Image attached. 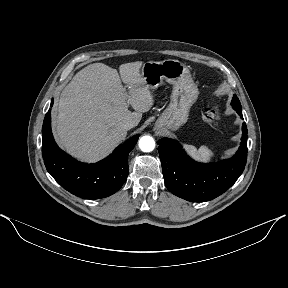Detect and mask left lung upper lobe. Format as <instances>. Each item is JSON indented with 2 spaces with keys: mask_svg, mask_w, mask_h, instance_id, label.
I'll return each instance as SVG.
<instances>
[{
  "mask_svg": "<svg viewBox=\"0 0 288 288\" xmlns=\"http://www.w3.org/2000/svg\"><path fill=\"white\" fill-rule=\"evenodd\" d=\"M231 105H232L233 108H237V109H241L242 110L240 101H239V99H238V97L236 95L233 96Z\"/></svg>",
  "mask_w": 288,
  "mask_h": 288,
  "instance_id": "1",
  "label": "left lung upper lobe"
}]
</instances>
